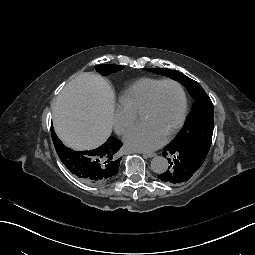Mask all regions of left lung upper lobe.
Segmentation results:
<instances>
[{
  "label": "left lung upper lobe",
  "mask_w": 255,
  "mask_h": 255,
  "mask_svg": "<svg viewBox=\"0 0 255 255\" xmlns=\"http://www.w3.org/2000/svg\"><path fill=\"white\" fill-rule=\"evenodd\" d=\"M147 70L180 82L195 99L193 109L189 114L186 125L181 130L183 132L172 137L170 143L174 147L180 146L182 149L187 150L188 153L195 156L198 161H205L211 146L214 129V109L210 98L198 82L178 71L163 68H147ZM166 172L163 174L165 175Z\"/></svg>",
  "instance_id": "5c2ea615"
}]
</instances>
